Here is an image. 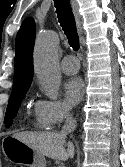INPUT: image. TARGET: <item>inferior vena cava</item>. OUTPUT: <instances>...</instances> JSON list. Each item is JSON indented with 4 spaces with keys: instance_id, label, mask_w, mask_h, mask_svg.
I'll return each instance as SVG.
<instances>
[{
    "instance_id": "1",
    "label": "inferior vena cava",
    "mask_w": 125,
    "mask_h": 167,
    "mask_svg": "<svg viewBox=\"0 0 125 167\" xmlns=\"http://www.w3.org/2000/svg\"><path fill=\"white\" fill-rule=\"evenodd\" d=\"M64 118H65V124L62 127L61 134L67 135L68 133H71L76 128V119L73 118L72 114L70 113L69 109L64 110Z\"/></svg>"
}]
</instances>
